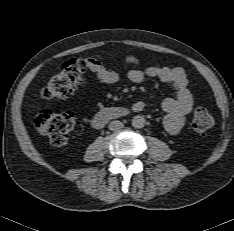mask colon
<instances>
[{"label": "colon", "instance_id": "5ec220e1", "mask_svg": "<svg viewBox=\"0 0 234 231\" xmlns=\"http://www.w3.org/2000/svg\"><path fill=\"white\" fill-rule=\"evenodd\" d=\"M90 60L78 58L66 62L54 74L42 89V96L47 99H65L69 97L76 87L83 81ZM75 116L72 112L42 111L35 120L39 133L46 136L55 147L64 146L69 139L70 132L75 126ZM213 117L205 107H198L193 115L192 127L198 133H205L213 126Z\"/></svg>", "mask_w": 234, "mask_h": 231}]
</instances>
